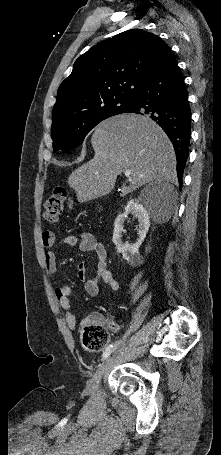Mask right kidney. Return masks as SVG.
<instances>
[{
    "label": "right kidney",
    "mask_w": 221,
    "mask_h": 455,
    "mask_svg": "<svg viewBox=\"0 0 221 455\" xmlns=\"http://www.w3.org/2000/svg\"><path fill=\"white\" fill-rule=\"evenodd\" d=\"M133 213L139 222L138 235L139 239L135 244H123L121 237L123 231V224L128 214ZM150 227L149 215L146 209L139 203L137 199H132L127 203L125 211L120 214L114 223L113 243L117 251L123 255V258L130 264H135L140 261L139 247L144 241L146 234Z\"/></svg>",
    "instance_id": "1"
}]
</instances>
